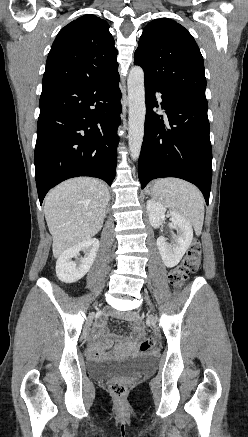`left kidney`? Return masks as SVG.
Instances as JSON below:
<instances>
[{"mask_svg":"<svg viewBox=\"0 0 248 437\" xmlns=\"http://www.w3.org/2000/svg\"><path fill=\"white\" fill-rule=\"evenodd\" d=\"M146 209L149 216L150 224L154 227H160L165 221L166 207L153 199L147 201ZM173 228L177 230V236L171 243L160 236L157 239V247L160 252L163 263L166 267L176 266L183 255L189 248L193 240V229L190 223L180 214L170 211Z\"/></svg>","mask_w":248,"mask_h":437,"instance_id":"left-kidney-1","label":"left kidney"}]
</instances>
